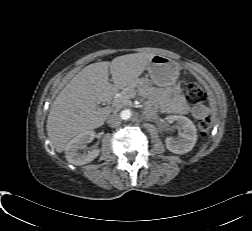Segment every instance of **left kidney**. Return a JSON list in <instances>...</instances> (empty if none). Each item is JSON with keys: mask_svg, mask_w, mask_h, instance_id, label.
Returning <instances> with one entry per match:
<instances>
[{"mask_svg": "<svg viewBox=\"0 0 252 231\" xmlns=\"http://www.w3.org/2000/svg\"><path fill=\"white\" fill-rule=\"evenodd\" d=\"M170 120L176 121L183 129L180 138H166V148L175 154H184L192 150L197 140V129L193 122L185 116L173 115Z\"/></svg>", "mask_w": 252, "mask_h": 231, "instance_id": "obj_1", "label": "left kidney"}]
</instances>
